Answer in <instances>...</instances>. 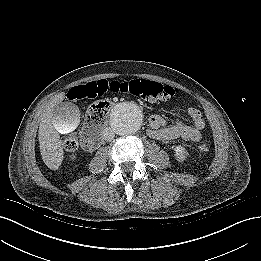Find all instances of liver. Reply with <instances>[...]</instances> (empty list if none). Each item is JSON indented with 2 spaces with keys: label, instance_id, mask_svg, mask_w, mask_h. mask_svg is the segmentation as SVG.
<instances>
[{
  "label": "liver",
  "instance_id": "obj_1",
  "mask_svg": "<svg viewBox=\"0 0 261 261\" xmlns=\"http://www.w3.org/2000/svg\"><path fill=\"white\" fill-rule=\"evenodd\" d=\"M65 99V92H60L52 97L45 106L44 113L39 125L38 139L40 153L45 165L51 170H57L63 161V146L59 133L73 131L80 119V113L71 118L69 122L55 116L54 108Z\"/></svg>",
  "mask_w": 261,
  "mask_h": 261
}]
</instances>
